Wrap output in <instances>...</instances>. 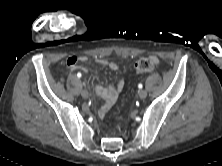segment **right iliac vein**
I'll return each mask as SVG.
<instances>
[{
    "label": "right iliac vein",
    "mask_w": 222,
    "mask_h": 166,
    "mask_svg": "<svg viewBox=\"0 0 222 166\" xmlns=\"http://www.w3.org/2000/svg\"><path fill=\"white\" fill-rule=\"evenodd\" d=\"M81 96L83 97V98H88V96H89V93H88V91L87 90H82L81 91Z\"/></svg>",
    "instance_id": "right-iliac-vein-1"
}]
</instances>
